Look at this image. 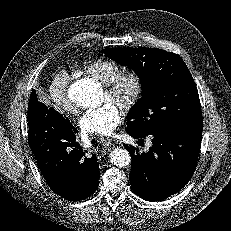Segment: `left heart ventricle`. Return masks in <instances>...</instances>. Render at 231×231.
Masks as SVG:
<instances>
[{"mask_svg":"<svg viewBox=\"0 0 231 231\" xmlns=\"http://www.w3.org/2000/svg\"><path fill=\"white\" fill-rule=\"evenodd\" d=\"M131 90V86H127L124 91H123V95H128V93L130 92ZM111 99L109 98V96L107 95V93L104 91V98H103V102H106V101H110ZM113 101V100H112Z\"/></svg>","mask_w":231,"mask_h":231,"instance_id":"b2bd125f","label":"left heart ventricle"}]
</instances>
